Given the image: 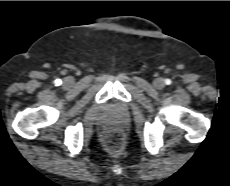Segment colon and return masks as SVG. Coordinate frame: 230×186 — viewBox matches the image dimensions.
<instances>
[{
  "mask_svg": "<svg viewBox=\"0 0 230 186\" xmlns=\"http://www.w3.org/2000/svg\"><path fill=\"white\" fill-rule=\"evenodd\" d=\"M102 142L108 152L117 155L123 150L124 136L119 129L109 128L104 131Z\"/></svg>",
  "mask_w": 230,
  "mask_h": 186,
  "instance_id": "1",
  "label": "colon"
}]
</instances>
